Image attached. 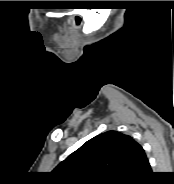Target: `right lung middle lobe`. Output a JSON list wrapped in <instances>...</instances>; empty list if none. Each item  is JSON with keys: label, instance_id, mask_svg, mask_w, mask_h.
Masks as SVG:
<instances>
[{"label": "right lung middle lobe", "instance_id": "obj_1", "mask_svg": "<svg viewBox=\"0 0 174 184\" xmlns=\"http://www.w3.org/2000/svg\"><path fill=\"white\" fill-rule=\"evenodd\" d=\"M122 182H119V183H115V184H121Z\"/></svg>", "mask_w": 174, "mask_h": 184}]
</instances>
